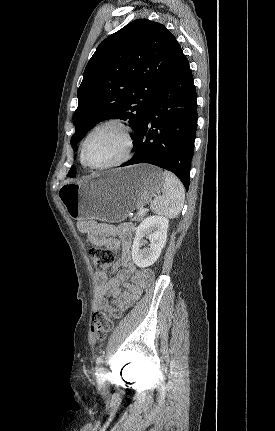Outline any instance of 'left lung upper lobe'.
I'll list each match as a JSON object with an SVG mask.
<instances>
[{
  "label": "left lung upper lobe",
  "mask_w": 275,
  "mask_h": 431,
  "mask_svg": "<svg viewBox=\"0 0 275 431\" xmlns=\"http://www.w3.org/2000/svg\"><path fill=\"white\" fill-rule=\"evenodd\" d=\"M180 50L164 25L147 19H137L102 41L77 91L74 151L86 133L106 119L128 120L134 141ZM74 175L72 166L68 176Z\"/></svg>",
  "instance_id": "5c2ea615"
}]
</instances>
